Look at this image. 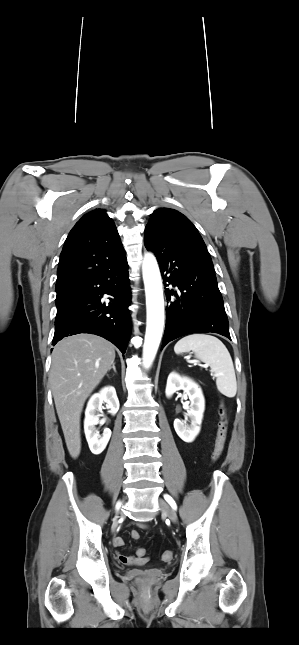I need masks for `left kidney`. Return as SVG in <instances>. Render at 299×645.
Here are the masks:
<instances>
[{
    "instance_id": "left-kidney-1",
    "label": "left kidney",
    "mask_w": 299,
    "mask_h": 645,
    "mask_svg": "<svg viewBox=\"0 0 299 645\" xmlns=\"http://www.w3.org/2000/svg\"><path fill=\"white\" fill-rule=\"evenodd\" d=\"M183 390L190 399V408L186 413V420L175 419L174 428L178 436L185 442H193L200 432L205 400L201 388L193 380L181 377L172 372L169 374L166 386V396L171 397L176 391ZM190 420V425L186 423Z\"/></svg>"
}]
</instances>
